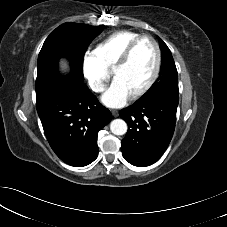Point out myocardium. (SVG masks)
<instances>
[{"mask_svg":"<svg viewBox=\"0 0 227 227\" xmlns=\"http://www.w3.org/2000/svg\"><path fill=\"white\" fill-rule=\"evenodd\" d=\"M145 40L150 41L155 48L156 64H155L154 72H153L151 78L149 79V81L145 84V86L142 87L137 92L130 95V98L133 100H136V99L142 97L143 95H145L153 87V85L156 83L157 79L159 78L161 66H162V54H161V49H160L158 42L153 37L148 36V35H143V36L136 38L127 46V48L125 49L122 56L119 58V60L116 62V64L112 68V76L115 77L116 72L128 64L136 47L142 41H145Z\"/></svg>","mask_w":227,"mask_h":227,"instance_id":"obj_1","label":"myocardium"}]
</instances>
